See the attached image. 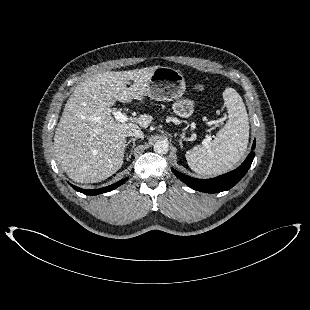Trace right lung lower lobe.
<instances>
[{
  "label": "right lung lower lobe",
  "instance_id": "98d812e1",
  "mask_svg": "<svg viewBox=\"0 0 310 310\" xmlns=\"http://www.w3.org/2000/svg\"><path fill=\"white\" fill-rule=\"evenodd\" d=\"M128 178H125V179H122L120 180L119 182L117 183H114L110 186H107V187H104V188H100V189H95V190H85V189H81L79 187H76L74 185H71L75 190L83 193V194H86V195H98V194H101V193H105V192H108V191H111L115 188H117L118 186L122 185Z\"/></svg>",
  "mask_w": 310,
  "mask_h": 310
}]
</instances>
